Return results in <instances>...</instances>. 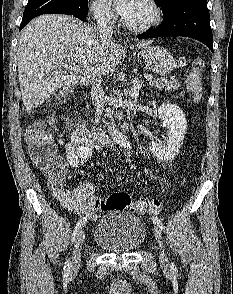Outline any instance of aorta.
<instances>
[{
    "instance_id": "762f6f07",
    "label": "aorta",
    "mask_w": 233,
    "mask_h": 294,
    "mask_svg": "<svg viewBox=\"0 0 233 294\" xmlns=\"http://www.w3.org/2000/svg\"><path fill=\"white\" fill-rule=\"evenodd\" d=\"M108 131L110 136L123 148L130 150L131 144L129 140L116 128L115 121L112 119L108 122Z\"/></svg>"
}]
</instances>
